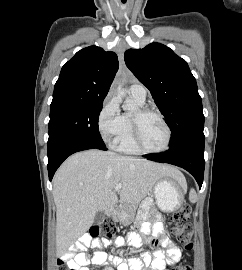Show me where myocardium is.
I'll return each instance as SVG.
<instances>
[{
    "mask_svg": "<svg viewBox=\"0 0 242 270\" xmlns=\"http://www.w3.org/2000/svg\"><path fill=\"white\" fill-rule=\"evenodd\" d=\"M154 115L159 118V120L162 122V124L165 127L166 130V142L164 146L160 149H148L144 146L142 139H141V122L142 120L149 116ZM131 124H132V137L135 147L139 152L145 153V154H159L167 151L171 145L172 141V131L171 128L166 121L165 117L162 113L155 109L150 108H139L134 115L131 117Z\"/></svg>",
    "mask_w": 242,
    "mask_h": 270,
    "instance_id": "1",
    "label": "myocardium"
}]
</instances>
